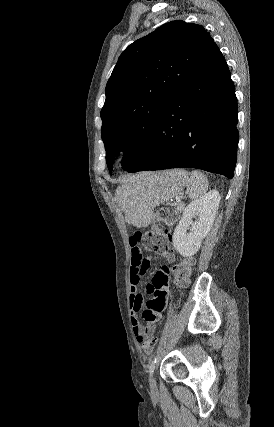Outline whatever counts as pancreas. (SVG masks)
<instances>
[{
    "instance_id": "obj_1",
    "label": "pancreas",
    "mask_w": 274,
    "mask_h": 427,
    "mask_svg": "<svg viewBox=\"0 0 274 427\" xmlns=\"http://www.w3.org/2000/svg\"><path fill=\"white\" fill-rule=\"evenodd\" d=\"M184 206L183 202H179V204H176V210L177 214H180V212H184Z\"/></svg>"
}]
</instances>
